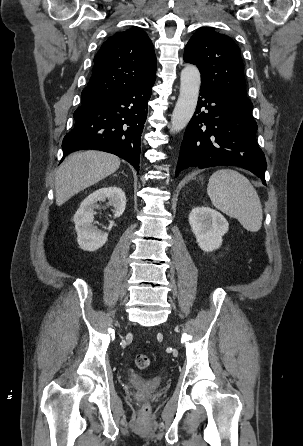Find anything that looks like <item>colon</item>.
<instances>
[{
	"mask_svg": "<svg viewBox=\"0 0 303 446\" xmlns=\"http://www.w3.org/2000/svg\"><path fill=\"white\" fill-rule=\"evenodd\" d=\"M134 362H135L136 367L141 370L148 369L151 365L150 358L146 354H143V353L136 354L135 358H134ZM142 410L144 413H148L149 406L144 405Z\"/></svg>",
	"mask_w": 303,
	"mask_h": 446,
	"instance_id": "obj_1",
	"label": "colon"
}]
</instances>
